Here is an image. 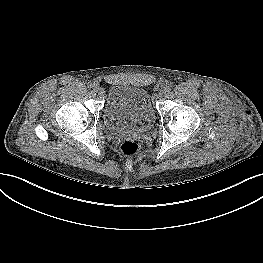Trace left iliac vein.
<instances>
[{"instance_id": "1", "label": "left iliac vein", "mask_w": 263, "mask_h": 263, "mask_svg": "<svg viewBox=\"0 0 263 263\" xmlns=\"http://www.w3.org/2000/svg\"><path fill=\"white\" fill-rule=\"evenodd\" d=\"M165 94H166V91H165V90H162V91L159 93L160 96H164Z\"/></svg>"}]
</instances>
